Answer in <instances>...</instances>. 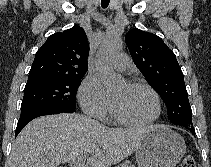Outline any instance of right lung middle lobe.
<instances>
[{"label":"right lung middle lobe","instance_id":"obj_1","mask_svg":"<svg viewBox=\"0 0 211 167\" xmlns=\"http://www.w3.org/2000/svg\"><path fill=\"white\" fill-rule=\"evenodd\" d=\"M80 77L41 78L27 81L21 115L44 108H76Z\"/></svg>","mask_w":211,"mask_h":167}]
</instances>
